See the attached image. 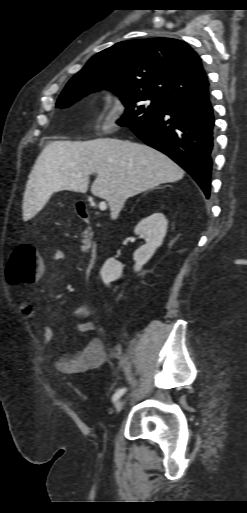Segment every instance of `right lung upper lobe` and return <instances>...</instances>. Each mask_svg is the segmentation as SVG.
<instances>
[{
  "mask_svg": "<svg viewBox=\"0 0 247 513\" xmlns=\"http://www.w3.org/2000/svg\"><path fill=\"white\" fill-rule=\"evenodd\" d=\"M71 80L124 86L166 103L209 94L200 57L185 42L171 38L119 42L94 55Z\"/></svg>",
  "mask_w": 247,
  "mask_h": 513,
  "instance_id": "cb5924a9",
  "label": "right lung upper lobe"
}]
</instances>
